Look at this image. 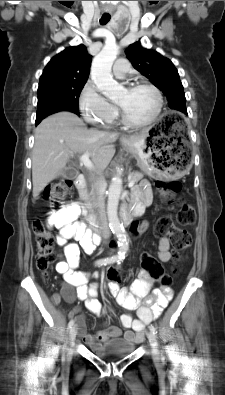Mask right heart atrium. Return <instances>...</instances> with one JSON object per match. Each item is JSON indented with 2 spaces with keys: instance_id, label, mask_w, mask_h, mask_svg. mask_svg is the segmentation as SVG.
Returning <instances> with one entry per match:
<instances>
[{
  "instance_id": "right-heart-atrium-1",
  "label": "right heart atrium",
  "mask_w": 225,
  "mask_h": 395,
  "mask_svg": "<svg viewBox=\"0 0 225 395\" xmlns=\"http://www.w3.org/2000/svg\"><path fill=\"white\" fill-rule=\"evenodd\" d=\"M79 108L84 120L92 126H108L117 117V111L88 81L79 97Z\"/></svg>"
}]
</instances>
